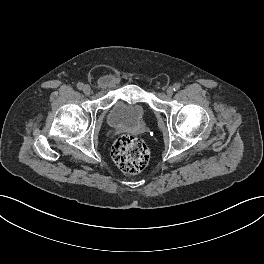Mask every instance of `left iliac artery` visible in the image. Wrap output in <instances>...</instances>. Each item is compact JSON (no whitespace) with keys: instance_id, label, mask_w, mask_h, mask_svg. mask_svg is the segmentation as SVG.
<instances>
[{"instance_id":"obj_1","label":"left iliac artery","mask_w":264,"mask_h":264,"mask_svg":"<svg viewBox=\"0 0 264 264\" xmlns=\"http://www.w3.org/2000/svg\"><path fill=\"white\" fill-rule=\"evenodd\" d=\"M179 89H180V84L175 83V84L173 85V90H174V91H178Z\"/></svg>"}]
</instances>
